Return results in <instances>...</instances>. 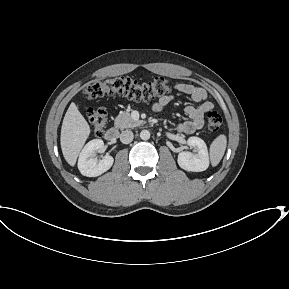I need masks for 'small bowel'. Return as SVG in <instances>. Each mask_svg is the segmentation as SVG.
<instances>
[{"instance_id": "1", "label": "small bowel", "mask_w": 289, "mask_h": 289, "mask_svg": "<svg viewBox=\"0 0 289 289\" xmlns=\"http://www.w3.org/2000/svg\"><path fill=\"white\" fill-rule=\"evenodd\" d=\"M174 89L180 93L190 96L192 101L197 104L189 105L185 108V114L188 119L177 125V131L186 134H192L201 129L204 123V116L213 109V104L206 100V91L198 86L188 83H177ZM174 96H162L153 106L157 112L163 111L172 101Z\"/></svg>"}]
</instances>
